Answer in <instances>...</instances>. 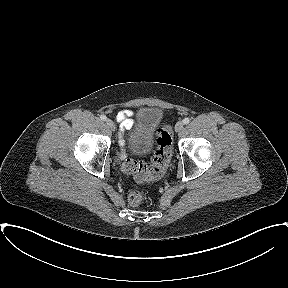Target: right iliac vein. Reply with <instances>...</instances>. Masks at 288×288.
Listing matches in <instances>:
<instances>
[{
    "instance_id": "obj_1",
    "label": "right iliac vein",
    "mask_w": 288,
    "mask_h": 288,
    "mask_svg": "<svg viewBox=\"0 0 288 288\" xmlns=\"http://www.w3.org/2000/svg\"><path fill=\"white\" fill-rule=\"evenodd\" d=\"M106 123H107V125H108V127L112 130V131H115V124H114V122L111 120V119H107L106 120Z\"/></svg>"
}]
</instances>
